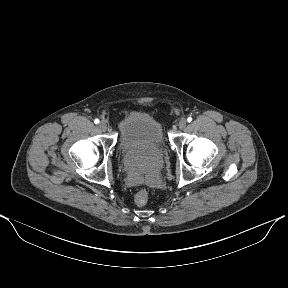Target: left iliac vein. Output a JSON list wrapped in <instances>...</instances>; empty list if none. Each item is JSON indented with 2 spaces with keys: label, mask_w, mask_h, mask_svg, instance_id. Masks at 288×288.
<instances>
[{
  "label": "left iliac vein",
  "mask_w": 288,
  "mask_h": 288,
  "mask_svg": "<svg viewBox=\"0 0 288 288\" xmlns=\"http://www.w3.org/2000/svg\"><path fill=\"white\" fill-rule=\"evenodd\" d=\"M186 125H187L186 119L185 118H181L179 120V122H178L179 129H181V130L184 129L186 127Z\"/></svg>",
  "instance_id": "left-iliac-vein-1"
}]
</instances>
